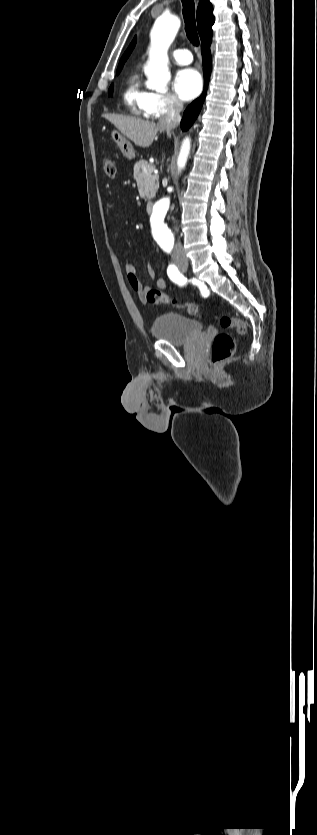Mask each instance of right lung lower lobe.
<instances>
[{
	"mask_svg": "<svg viewBox=\"0 0 317 835\" xmlns=\"http://www.w3.org/2000/svg\"><path fill=\"white\" fill-rule=\"evenodd\" d=\"M211 41H212V34L208 38L204 39L202 41V44H201L203 66H204V91L199 98L194 100L186 108V110L183 114V119L181 121V129L183 131L187 130L192 125V123L195 121L197 116L199 115L200 110H201L202 105H203V102H204V99H205V96H206L207 87H208V84H209V79H210L211 70H212V56H211V53H210Z\"/></svg>",
	"mask_w": 317,
	"mask_h": 835,
	"instance_id": "1",
	"label": "right lung lower lobe"
}]
</instances>
